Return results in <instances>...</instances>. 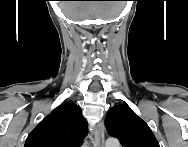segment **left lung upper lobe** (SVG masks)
Segmentation results:
<instances>
[{
  "label": "left lung upper lobe",
  "instance_id": "1",
  "mask_svg": "<svg viewBox=\"0 0 188 147\" xmlns=\"http://www.w3.org/2000/svg\"><path fill=\"white\" fill-rule=\"evenodd\" d=\"M105 124L109 134L124 147H160L149 126L128 105L112 107Z\"/></svg>",
  "mask_w": 188,
  "mask_h": 147
}]
</instances>
